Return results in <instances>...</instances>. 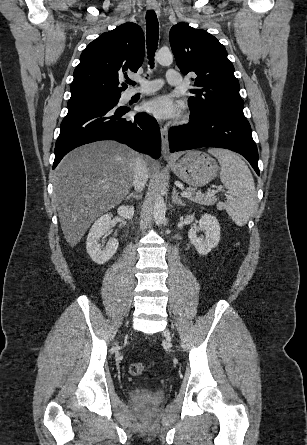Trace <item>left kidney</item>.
<instances>
[{"mask_svg": "<svg viewBox=\"0 0 307 445\" xmlns=\"http://www.w3.org/2000/svg\"><path fill=\"white\" fill-rule=\"evenodd\" d=\"M199 231H204V235L198 237L197 233H199ZM188 237L199 255H208L211 249L217 247L220 241L218 218L206 212V214L201 216L198 227H192V229H190Z\"/></svg>", "mask_w": 307, "mask_h": 445, "instance_id": "left-kidney-1", "label": "left kidney"}]
</instances>
